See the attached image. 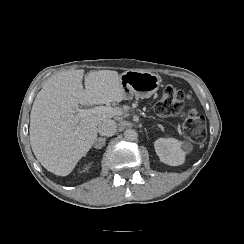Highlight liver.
Segmentation results:
<instances>
[{"label": "liver", "mask_w": 244, "mask_h": 244, "mask_svg": "<svg viewBox=\"0 0 244 244\" xmlns=\"http://www.w3.org/2000/svg\"><path fill=\"white\" fill-rule=\"evenodd\" d=\"M84 70L57 73L38 92L30 113V144L48 171L67 176L90 150L98 125L112 116L93 114L75 121L81 105H100L126 99L118 72H90L82 85Z\"/></svg>", "instance_id": "6515ba94"}]
</instances>
